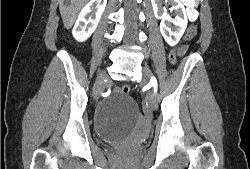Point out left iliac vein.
I'll return each mask as SVG.
<instances>
[{
	"mask_svg": "<svg viewBox=\"0 0 250 169\" xmlns=\"http://www.w3.org/2000/svg\"><path fill=\"white\" fill-rule=\"evenodd\" d=\"M142 83H146L152 77V71L149 67L145 66L142 68ZM147 106L151 109H155L157 106V96L155 92H150L147 94Z\"/></svg>",
	"mask_w": 250,
	"mask_h": 169,
	"instance_id": "left-iliac-vein-1",
	"label": "left iliac vein"
}]
</instances>
